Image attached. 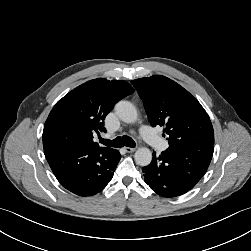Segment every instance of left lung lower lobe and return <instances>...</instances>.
<instances>
[{
    "label": "left lung lower lobe",
    "mask_w": 251,
    "mask_h": 251,
    "mask_svg": "<svg viewBox=\"0 0 251 251\" xmlns=\"http://www.w3.org/2000/svg\"><path fill=\"white\" fill-rule=\"evenodd\" d=\"M212 155L167 149L153 153L152 162L142 168L144 181L163 197H175L191 190L205 174Z\"/></svg>",
    "instance_id": "0a47b994"
}]
</instances>
